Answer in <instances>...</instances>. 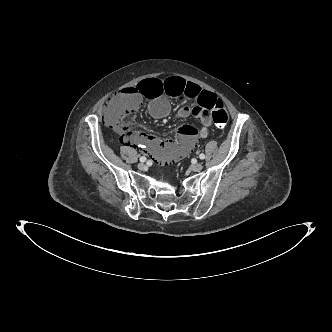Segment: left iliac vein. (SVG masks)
<instances>
[{"label":"left iliac vein","mask_w":332,"mask_h":332,"mask_svg":"<svg viewBox=\"0 0 332 332\" xmlns=\"http://www.w3.org/2000/svg\"><path fill=\"white\" fill-rule=\"evenodd\" d=\"M203 168V165L201 163H194L190 166V169L194 172L201 171Z\"/></svg>","instance_id":"left-iliac-vein-1"}]
</instances>
